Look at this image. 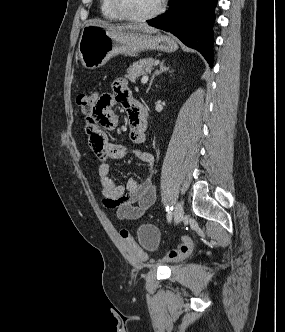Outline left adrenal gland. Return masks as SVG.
<instances>
[{
  "mask_svg": "<svg viewBox=\"0 0 285 332\" xmlns=\"http://www.w3.org/2000/svg\"><path fill=\"white\" fill-rule=\"evenodd\" d=\"M164 63H165V60H162V62H161L160 65H159V69L156 70V71L154 72V74L152 75V77H151V79H150V83H149V86H148L147 91L150 90L151 85H152V83H153V81H154V79H155V77H156L157 75H159V74H161V73L166 72V71L169 70V67H166V66L164 65Z\"/></svg>",
  "mask_w": 285,
  "mask_h": 332,
  "instance_id": "1",
  "label": "left adrenal gland"
}]
</instances>
